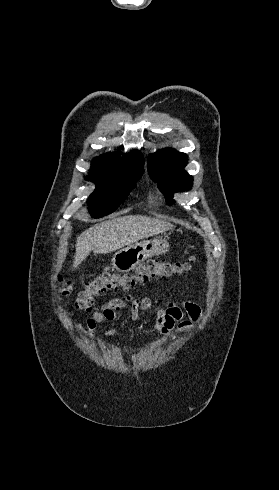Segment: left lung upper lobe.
Here are the masks:
<instances>
[{
	"label": "left lung upper lobe",
	"mask_w": 279,
	"mask_h": 490,
	"mask_svg": "<svg viewBox=\"0 0 279 490\" xmlns=\"http://www.w3.org/2000/svg\"><path fill=\"white\" fill-rule=\"evenodd\" d=\"M187 155L169 148L159 150L148 157V171L153 181L158 183L167 204H172L173 193L189 190L193 178L185 170Z\"/></svg>",
	"instance_id": "5c2ea615"
}]
</instances>
